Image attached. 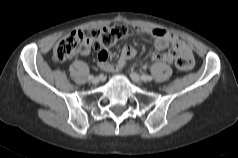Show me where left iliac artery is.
Here are the masks:
<instances>
[{"mask_svg":"<svg viewBox=\"0 0 238 158\" xmlns=\"http://www.w3.org/2000/svg\"><path fill=\"white\" fill-rule=\"evenodd\" d=\"M141 78L143 81H152L153 79L150 75H142Z\"/></svg>","mask_w":238,"mask_h":158,"instance_id":"left-iliac-artery-1","label":"left iliac artery"}]
</instances>
